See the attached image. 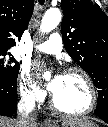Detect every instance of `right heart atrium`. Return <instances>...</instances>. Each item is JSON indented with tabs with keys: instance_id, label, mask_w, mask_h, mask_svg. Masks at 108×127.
<instances>
[{
	"instance_id": "right-heart-atrium-1",
	"label": "right heart atrium",
	"mask_w": 108,
	"mask_h": 127,
	"mask_svg": "<svg viewBox=\"0 0 108 127\" xmlns=\"http://www.w3.org/2000/svg\"><path fill=\"white\" fill-rule=\"evenodd\" d=\"M18 86L21 97L26 101L38 103L45 98V92L26 68H23L20 72Z\"/></svg>"
}]
</instances>
